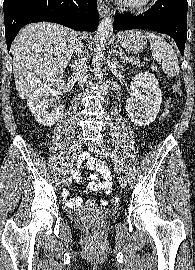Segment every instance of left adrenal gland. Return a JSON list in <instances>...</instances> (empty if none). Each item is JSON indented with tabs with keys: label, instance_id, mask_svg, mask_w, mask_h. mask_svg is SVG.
I'll return each instance as SVG.
<instances>
[{
	"label": "left adrenal gland",
	"instance_id": "1",
	"mask_svg": "<svg viewBox=\"0 0 195 270\" xmlns=\"http://www.w3.org/2000/svg\"><path fill=\"white\" fill-rule=\"evenodd\" d=\"M113 61H114V63H115L118 67H120V64H119V62H117L116 57L113 58Z\"/></svg>",
	"mask_w": 195,
	"mask_h": 270
}]
</instances>
